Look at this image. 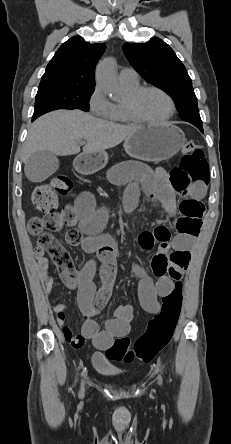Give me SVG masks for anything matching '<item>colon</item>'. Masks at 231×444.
<instances>
[{"label": "colon", "mask_w": 231, "mask_h": 444, "mask_svg": "<svg viewBox=\"0 0 231 444\" xmlns=\"http://www.w3.org/2000/svg\"><path fill=\"white\" fill-rule=\"evenodd\" d=\"M171 179L180 186L190 183L209 181V167L201 147L194 142H187L177 168L170 174ZM71 181L58 177L50 182L36 186L31 193V202L43 213L28 221V231L38 236V250L47 254L58 268L64 281L75 284V270L68 251L53 237L50 232L69 226L72 213L66 208L58 211V198L68 193ZM181 216L176 222L179 234L196 236L201 225L203 205L194 200H184L180 205ZM158 235L168 236L165 227L155 229ZM182 304V282L175 283L173 291L163 298L161 311L149 321L145 333L134 343L127 336L116 338L106 350L109 360L130 363L139 360L152 361L170 342L179 320Z\"/></svg>", "instance_id": "5ec220e1"}]
</instances>
